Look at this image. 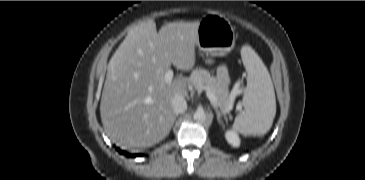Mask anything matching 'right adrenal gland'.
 <instances>
[{"instance_id":"2a0ac1e0","label":"right adrenal gland","mask_w":365,"mask_h":180,"mask_svg":"<svg viewBox=\"0 0 365 180\" xmlns=\"http://www.w3.org/2000/svg\"><path fill=\"white\" fill-rule=\"evenodd\" d=\"M177 117H178V114H175L174 122L176 121ZM174 122H173V124H174Z\"/></svg>"}]
</instances>
